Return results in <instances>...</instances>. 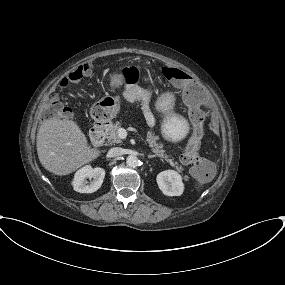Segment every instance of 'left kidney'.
Instances as JSON below:
<instances>
[{
	"label": "left kidney",
	"mask_w": 285,
	"mask_h": 285,
	"mask_svg": "<svg viewBox=\"0 0 285 285\" xmlns=\"http://www.w3.org/2000/svg\"><path fill=\"white\" fill-rule=\"evenodd\" d=\"M156 180L160 190L167 196H180L183 193L182 177L174 170L160 172Z\"/></svg>",
	"instance_id": "1"
}]
</instances>
